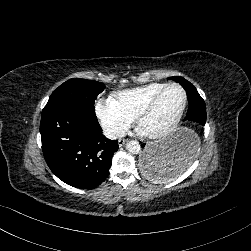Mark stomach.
Listing matches in <instances>:
<instances>
[{
	"instance_id": "1",
	"label": "stomach",
	"mask_w": 251,
	"mask_h": 251,
	"mask_svg": "<svg viewBox=\"0 0 251 251\" xmlns=\"http://www.w3.org/2000/svg\"><path fill=\"white\" fill-rule=\"evenodd\" d=\"M198 138L193 129L181 126L161 140L148 142L140 157L143 172L148 174L150 171L173 168L178 170L182 167L181 157L192 152Z\"/></svg>"
}]
</instances>
